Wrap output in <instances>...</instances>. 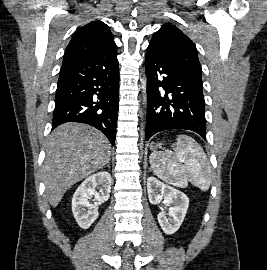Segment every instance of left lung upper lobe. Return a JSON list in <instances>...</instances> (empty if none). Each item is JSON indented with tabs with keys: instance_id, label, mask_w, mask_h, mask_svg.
Instances as JSON below:
<instances>
[{
	"instance_id": "left-lung-upper-lobe-1",
	"label": "left lung upper lobe",
	"mask_w": 267,
	"mask_h": 270,
	"mask_svg": "<svg viewBox=\"0 0 267 270\" xmlns=\"http://www.w3.org/2000/svg\"><path fill=\"white\" fill-rule=\"evenodd\" d=\"M148 47L202 81L197 49L189 37L174 25H162Z\"/></svg>"
}]
</instances>
